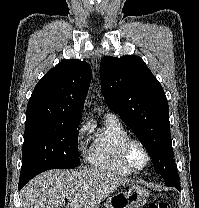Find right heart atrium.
<instances>
[{"label": "right heart atrium", "instance_id": "d8ad5b80", "mask_svg": "<svg viewBox=\"0 0 199 208\" xmlns=\"http://www.w3.org/2000/svg\"><path fill=\"white\" fill-rule=\"evenodd\" d=\"M89 130H90V123L83 122L79 125L76 132V148L82 154H85L87 151L86 135Z\"/></svg>", "mask_w": 199, "mask_h": 208}]
</instances>
